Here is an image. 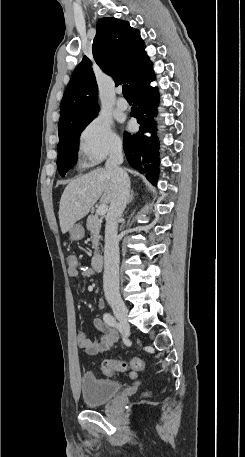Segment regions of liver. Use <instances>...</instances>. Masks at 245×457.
Instances as JSON below:
<instances>
[{
  "label": "liver",
  "mask_w": 245,
  "mask_h": 457,
  "mask_svg": "<svg viewBox=\"0 0 245 457\" xmlns=\"http://www.w3.org/2000/svg\"><path fill=\"white\" fill-rule=\"evenodd\" d=\"M100 196L104 204L111 202L114 196L113 182L109 174H106L105 168H95L68 182L59 206L62 233H67L74 222L86 216Z\"/></svg>",
  "instance_id": "1"
}]
</instances>
